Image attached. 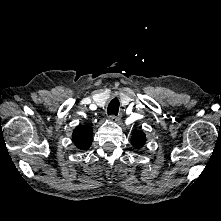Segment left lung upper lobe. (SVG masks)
Masks as SVG:
<instances>
[{
  "mask_svg": "<svg viewBox=\"0 0 221 221\" xmlns=\"http://www.w3.org/2000/svg\"><path fill=\"white\" fill-rule=\"evenodd\" d=\"M146 142V135L140 130L135 131L132 134L131 143L133 144L134 148L139 149L143 147Z\"/></svg>",
  "mask_w": 221,
  "mask_h": 221,
  "instance_id": "obj_1",
  "label": "left lung upper lobe"
}]
</instances>
